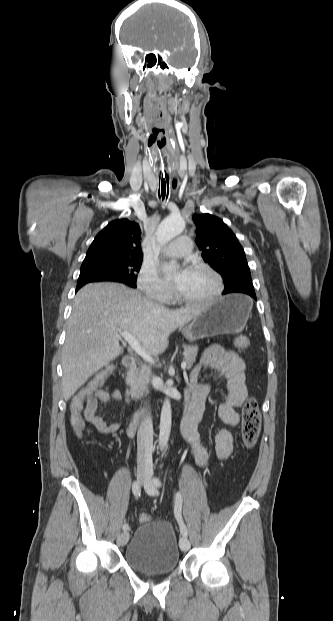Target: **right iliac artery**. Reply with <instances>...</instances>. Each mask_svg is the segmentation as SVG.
I'll list each match as a JSON object with an SVG mask.
<instances>
[{"instance_id": "obj_1", "label": "right iliac artery", "mask_w": 333, "mask_h": 621, "mask_svg": "<svg viewBox=\"0 0 333 621\" xmlns=\"http://www.w3.org/2000/svg\"><path fill=\"white\" fill-rule=\"evenodd\" d=\"M132 491H133V494H134L136 497H139V496H140V493H141V487H140V485H139V482H138V481H134V483H133V485H132ZM128 529H129V525H128L127 523H124V524H123V530H124V531H127Z\"/></svg>"}]
</instances>
